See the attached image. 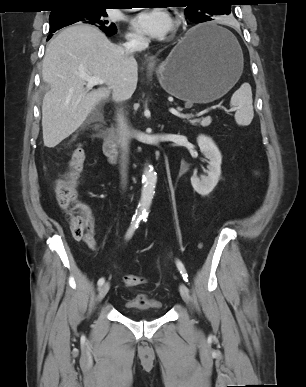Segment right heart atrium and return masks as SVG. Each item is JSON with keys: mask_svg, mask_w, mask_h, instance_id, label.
<instances>
[{"mask_svg": "<svg viewBox=\"0 0 306 387\" xmlns=\"http://www.w3.org/2000/svg\"><path fill=\"white\" fill-rule=\"evenodd\" d=\"M126 38L131 42H139L142 40V36L134 32L127 33Z\"/></svg>", "mask_w": 306, "mask_h": 387, "instance_id": "d8ad5b80", "label": "right heart atrium"}]
</instances>
